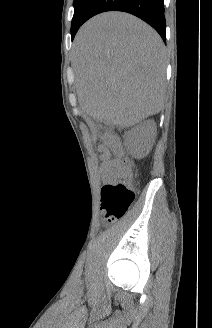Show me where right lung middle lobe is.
<instances>
[{"label": "right lung middle lobe", "instance_id": "1", "mask_svg": "<svg viewBox=\"0 0 212 328\" xmlns=\"http://www.w3.org/2000/svg\"><path fill=\"white\" fill-rule=\"evenodd\" d=\"M95 0H74V16L71 24V35L84 23L88 11Z\"/></svg>", "mask_w": 212, "mask_h": 328}]
</instances>
